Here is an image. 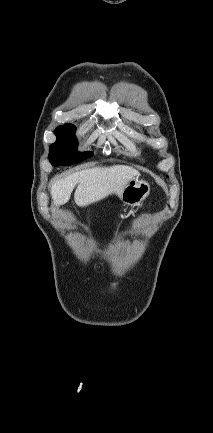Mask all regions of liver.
Returning <instances> with one entry per match:
<instances>
[{
	"instance_id": "1",
	"label": "liver",
	"mask_w": 213,
	"mask_h": 433,
	"mask_svg": "<svg viewBox=\"0 0 213 433\" xmlns=\"http://www.w3.org/2000/svg\"><path fill=\"white\" fill-rule=\"evenodd\" d=\"M137 175V170L122 165L85 169L55 180L51 196L55 203L63 205L69 201L77 185L74 200L78 206L85 207L111 194L119 196L128 182Z\"/></svg>"
}]
</instances>
